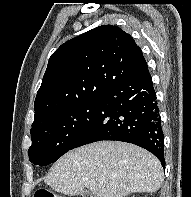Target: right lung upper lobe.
I'll use <instances>...</instances> for the list:
<instances>
[{
  "mask_svg": "<svg viewBox=\"0 0 191 197\" xmlns=\"http://www.w3.org/2000/svg\"><path fill=\"white\" fill-rule=\"evenodd\" d=\"M146 67L134 39L117 26H99L67 41L49 59L32 127L72 106L98 101L109 86Z\"/></svg>",
  "mask_w": 191,
  "mask_h": 197,
  "instance_id": "1",
  "label": "right lung upper lobe"
}]
</instances>
